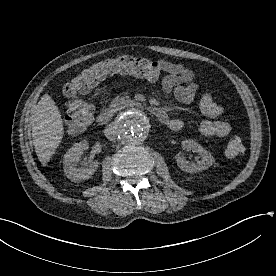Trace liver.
Here are the masks:
<instances>
[{
  "label": "liver",
  "mask_w": 276,
  "mask_h": 276,
  "mask_svg": "<svg viewBox=\"0 0 276 276\" xmlns=\"http://www.w3.org/2000/svg\"><path fill=\"white\" fill-rule=\"evenodd\" d=\"M30 119L36 155L46 166L64 135L61 113L52 97L45 94L32 108Z\"/></svg>",
  "instance_id": "6515ba94"
}]
</instances>
